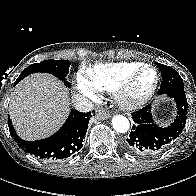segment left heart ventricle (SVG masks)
<instances>
[{
  "instance_id": "b2bd125f",
  "label": "left heart ventricle",
  "mask_w": 196,
  "mask_h": 196,
  "mask_svg": "<svg viewBox=\"0 0 196 196\" xmlns=\"http://www.w3.org/2000/svg\"><path fill=\"white\" fill-rule=\"evenodd\" d=\"M156 75L152 70L144 71L138 80L135 82L130 90V94L133 97H139L145 94L153 85Z\"/></svg>"
}]
</instances>
